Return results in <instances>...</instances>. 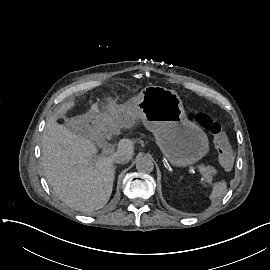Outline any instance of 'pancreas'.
Instances as JSON below:
<instances>
[{
    "mask_svg": "<svg viewBox=\"0 0 270 270\" xmlns=\"http://www.w3.org/2000/svg\"><path fill=\"white\" fill-rule=\"evenodd\" d=\"M200 173L205 178V182L211 183L212 182V176L217 173V170L213 166H204L199 165L198 166Z\"/></svg>",
    "mask_w": 270,
    "mask_h": 270,
    "instance_id": "pancreas-1",
    "label": "pancreas"
}]
</instances>
